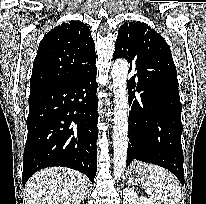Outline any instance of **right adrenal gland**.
<instances>
[{
    "label": "right adrenal gland",
    "mask_w": 206,
    "mask_h": 204,
    "mask_svg": "<svg viewBox=\"0 0 206 204\" xmlns=\"http://www.w3.org/2000/svg\"><path fill=\"white\" fill-rule=\"evenodd\" d=\"M88 194V190H87V193H86V195ZM85 199H86V196H85Z\"/></svg>",
    "instance_id": "2a0ac1e0"
}]
</instances>
